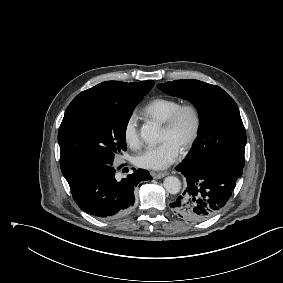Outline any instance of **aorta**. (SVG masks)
Returning <instances> with one entry per match:
<instances>
[{"instance_id": "1", "label": "aorta", "mask_w": 283, "mask_h": 283, "mask_svg": "<svg viewBox=\"0 0 283 283\" xmlns=\"http://www.w3.org/2000/svg\"><path fill=\"white\" fill-rule=\"evenodd\" d=\"M140 135L147 144H158L161 141L160 126L154 122H149L142 127ZM164 187L168 193L177 194L181 189V182L177 177L168 176L164 180Z\"/></svg>"}]
</instances>
